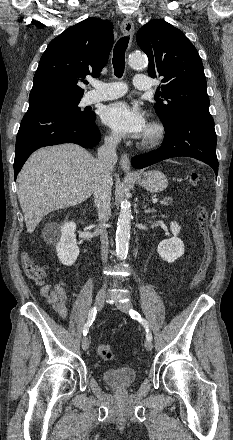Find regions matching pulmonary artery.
<instances>
[{
    "label": "pulmonary artery",
    "instance_id": "obj_1",
    "mask_svg": "<svg viewBox=\"0 0 233 440\" xmlns=\"http://www.w3.org/2000/svg\"><path fill=\"white\" fill-rule=\"evenodd\" d=\"M133 84L136 89L142 91H149L151 88L148 77L142 74L135 75ZM96 86V90L87 94L86 100L90 104L119 98L127 91L126 85L122 82H99Z\"/></svg>",
    "mask_w": 233,
    "mask_h": 440
}]
</instances>
